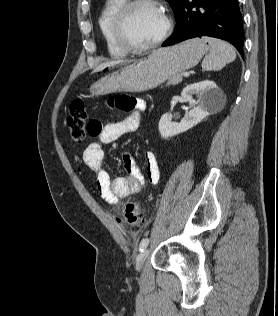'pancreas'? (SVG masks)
Listing matches in <instances>:
<instances>
[{
  "instance_id": "pancreas-1",
  "label": "pancreas",
  "mask_w": 278,
  "mask_h": 316,
  "mask_svg": "<svg viewBox=\"0 0 278 316\" xmlns=\"http://www.w3.org/2000/svg\"><path fill=\"white\" fill-rule=\"evenodd\" d=\"M183 74H176L168 79L167 86L169 85H177L182 82Z\"/></svg>"
}]
</instances>
